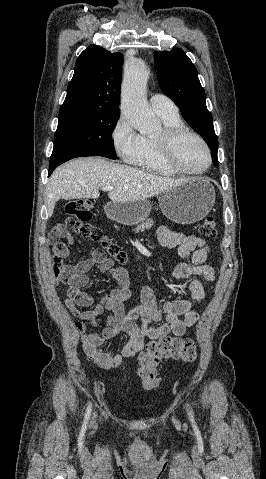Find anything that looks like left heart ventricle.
<instances>
[{
    "instance_id": "b2bd125f",
    "label": "left heart ventricle",
    "mask_w": 266,
    "mask_h": 479,
    "mask_svg": "<svg viewBox=\"0 0 266 479\" xmlns=\"http://www.w3.org/2000/svg\"><path fill=\"white\" fill-rule=\"evenodd\" d=\"M177 162L190 171L201 170L207 164V155L201 143L193 136L180 138L175 147Z\"/></svg>"
}]
</instances>
